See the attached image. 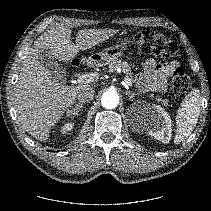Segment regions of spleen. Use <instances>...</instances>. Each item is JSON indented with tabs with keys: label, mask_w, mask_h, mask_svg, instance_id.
<instances>
[{
	"label": "spleen",
	"mask_w": 211,
	"mask_h": 211,
	"mask_svg": "<svg viewBox=\"0 0 211 211\" xmlns=\"http://www.w3.org/2000/svg\"><path fill=\"white\" fill-rule=\"evenodd\" d=\"M201 100L202 97L198 88L192 89L183 100L176 116L175 143H180L190 136L196 127L200 114Z\"/></svg>",
	"instance_id": "3e777b00"
}]
</instances>
